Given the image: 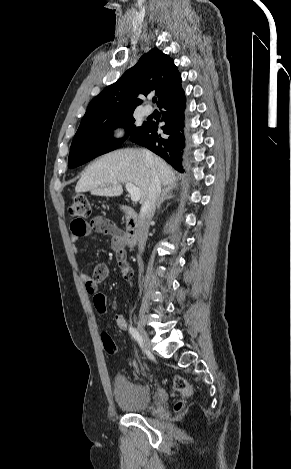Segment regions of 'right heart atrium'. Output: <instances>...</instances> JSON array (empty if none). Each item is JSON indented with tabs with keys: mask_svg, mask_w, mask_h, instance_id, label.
I'll use <instances>...</instances> for the list:
<instances>
[{
	"mask_svg": "<svg viewBox=\"0 0 291 469\" xmlns=\"http://www.w3.org/2000/svg\"><path fill=\"white\" fill-rule=\"evenodd\" d=\"M125 132H126L125 127L121 124H117V125H114L110 129L109 136L111 140L117 141L124 137Z\"/></svg>",
	"mask_w": 291,
	"mask_h": 469,
	"instance_id": "right-heart-atrium-1",
	"label": "right heart atrium"
}]
</instances>
